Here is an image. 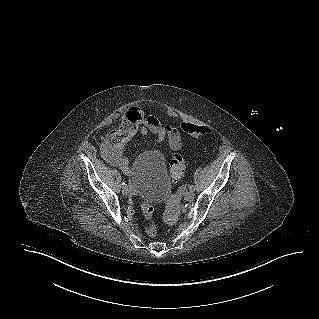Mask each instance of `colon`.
<instances>
[{"label": "colon", "instance_id": "colon-1", "mask_svg": "<svg viewBox=\"0 0 319 319\" xmlns=\"http://www.w3.org/2000/svg\"><path fill=\"white\" fill-rule=\"evenodd\" d=\"M175 127L181 134L187 135L188 138L202 143L209 142L212 136V131L208 125H198L195 121L188 122L185 118L177 119ZM168 167L173 182H178L183 179L185 175V162L180 154L173 153L170 156L168 159ZM141 208L143 212L142 228L147 235L155 236L157 234V227L154 220V208L148 202H143Z\"/></svg>", "mask_w": 319, "mask_h": 319}]
</instances>
